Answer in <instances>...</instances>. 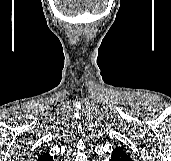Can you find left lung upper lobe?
Listing matches in <instances>:
<instances>
[{"instance_id":"5c2ea615","label":"left lung upper lobe","mask_w":171,"mask_h":161,"mask_svg":"<svg viewBox=\"0 0 171 161\" xmlns=\"http://www.w3.org/2000/svg\"><path fill=\"white\" fill-rule=\"evenodd\" d=\"M111 158H120L123 161H132L130 154H128L123 147L117 146L113 151Z\"/></svg>"}]
</instances>
